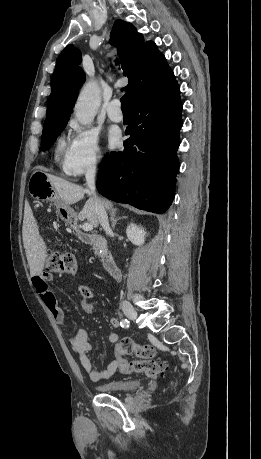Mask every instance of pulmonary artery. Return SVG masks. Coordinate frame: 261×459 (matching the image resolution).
I'll list each match as a JSON object with an SVG mask.
<instances>
[{
  "label": "pulmonary artery",
  "mask_w": 261,
  "mask_h": 459,
  "mask_svg": "<svg viewBox=\"0 0 261 459\" xmlns=\"http://www.w3.org/2000/svg\"><path fill=\"white\" fill-rule=\"evenodd\" d=\"M108 117L114 122H121L123 120V113L120 108V101L113 99L107 107Z\"/></svg>",
  "instance_id": "pulmonary-artery-1"
}]
</instances>
